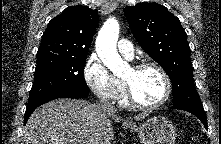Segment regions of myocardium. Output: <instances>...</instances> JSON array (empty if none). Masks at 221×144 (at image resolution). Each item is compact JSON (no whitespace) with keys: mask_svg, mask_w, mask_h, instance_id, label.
Returning a JSON list of instances; mask_svg holds the SVG:
<instances>
[{"mask_svg":"<svg viewBox=\"0 0 221 144\" xmlns=\"http://www.w3.org/2000/svg\"><path fill=\"white\" fill-rule=\"evenodd\" d=\"M145 68H154L161 74L163 81H164V85H165V91H164L163 97L161 98V100H159L158 102L154 104L141 103L140 101L136 99L130 83L124 80L126 98L128 100V103L132 105L133 107H136L139 109L153 110V109L160 108L169 100L171 92H172V83L166 70L156 62L144 61L132 67V69L136 72L141 71Z\"/></svg>","mask_w":221,"mask_h":144,"instance_id":"f54148a6","label":"myocardium"}]
</instances>
